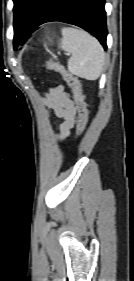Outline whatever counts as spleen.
Here are the masks:
<instances>
[{"label": "spleen", "mask_w": 134, "mask_h": 281, "mask_svg": "<svg viewBox=\"0 0 134 281\" xmlns=\"http://www.w3.org/2000/svg\"><path fill=\"white\" fill-rule=\"evenodd\" d=\"M61 33V48L72 54L67 63L69 72L86 80L98 79L105 60L99 41L86 31L71 27L62 28Z\"/></svg>", "instance_id": "3e777b00"}]
</instances>
